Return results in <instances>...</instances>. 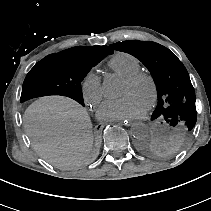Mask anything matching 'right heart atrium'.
Listing matches in <instances>:
<instances>
[{
    "instance_id": "right-heart-atrium-1",
    "label": "right heart atrium",
    "mask_w": 211,
    "mask_h": 211,
    "mask_svg": "<svg viewBox=\"0 0 211 211\" xmlns=\"http://www.w3.org/2000/svg\"><path fill=\"white\" fill-rule=\"evenodd\" d=\"M80 87L84 101L91 107L97 106L105 95L101 77L94 71L84 76Z\"/></svg>"
}]
</instances>
